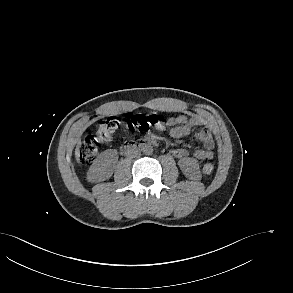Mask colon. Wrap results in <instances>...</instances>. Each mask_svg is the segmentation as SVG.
I'll return each instance as SVG.
<instances>
[{
    "label": "colon",
    "instance_id": "colon-1",
    "mask_svg": "<svg viewBox=\"0 0 293 293\" xmlns=\"http://www.w3.org/2000/svg\"><path fill=\"white\" fill-rule=\"evenodd\" d=\"M162 119L157 114H135L125 123V128L132 133L140 134L157 128ZM120 121L115 117H108L99 123L96 134L87 135L80 146V159L84 163L92 162L98 155L101 142L110 141L112 134L119 128ZM214 169L213 164L203 166V173L210 174Z\"/></svg>",
    "mask_w": 293,
    "mask_h": 293
}]
</instances>
